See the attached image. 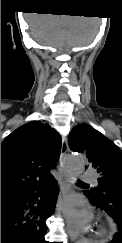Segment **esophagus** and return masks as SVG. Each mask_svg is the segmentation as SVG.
Instances as JSON below:
<instances>
[{"mask_svg":"<svg viewBox=\"0 0 122 243\" xmlns=\"http://www.w3.org/2000/svg\"><path fill=\"white\" fill-rule=\"evenodd\" d=\"M67 150H68L67 139L64 138L62 142L60 157L57 163V170L60 177V188H61V195H62L61 205H62V213L66 218V231L69 237L71 238V240H75L78 236V232L73 227L71 221L67 217V212H66V203H67L68 196L71 192V181L64 167V158Z\"/></svg>","mask_w":122,"mask_h":243,"instance_id":"34e87169","label":"esophagus"}]
</instances>
